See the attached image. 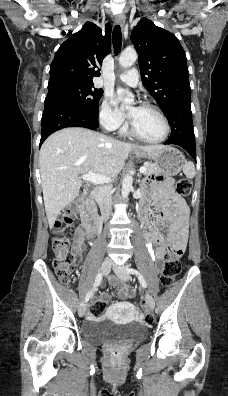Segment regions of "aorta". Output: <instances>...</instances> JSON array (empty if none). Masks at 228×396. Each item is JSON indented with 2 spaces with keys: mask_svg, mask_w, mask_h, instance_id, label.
<instances>
[{
  "mask_svg": "<svg viewBox=\"0 0 228 396\" xmlns=\"http://www.w3.org/2000/svg\"><path fill=\"white\" fill-rule=\"evenodd\" d=\"M138 55L135 50H125L119 57L120 66L127 68L131 67L137 60ZM118 95L121 97L123 104L127 107L134 102L132 93L124 90L123 88L117 89ZM133 177L131 174H126L122 181L121 194L123 198H127L132 189Z\"/></svg>",
  "mask_w": 228,
  "mask_h": 396,
  "instance_id": "762f6f07",
  "label": "aorta"
}]
</instances>
